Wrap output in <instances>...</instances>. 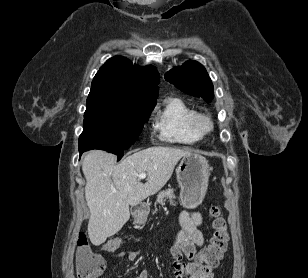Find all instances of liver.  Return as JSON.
<instances>
[{
  "label": "liver",
  "instance_id": "6515ba94",
  "mask_svg": "<svg viewBox=\"0 0 308 278\" xmlns=\"http://www.w3.org/2000/svg\"><path fill=\"white\" fill-rule=\"evenodd\" d=\"M189 151L154 146L126 157L101 150L89 151L82 162L86 178L85 198L90 210L88 235L99 246L116 234L130 218L129 206L157 193L171 178L178 161ZM147 173L146 183L138 175Z\"/></svg>",
  "mask_w": 308,
  "mask_h": 278
}]
</instances>
